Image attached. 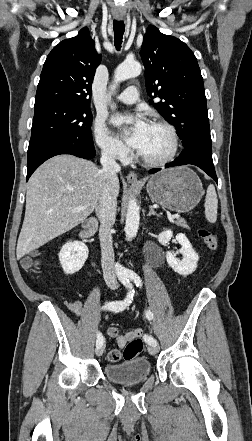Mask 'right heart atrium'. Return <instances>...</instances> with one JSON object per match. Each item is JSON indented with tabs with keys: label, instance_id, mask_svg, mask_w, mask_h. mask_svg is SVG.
<instances>
[{
	"label": "right heart atrium",
	"instance_id": "d8ad5b80",
	"mask_svg": "<svg viewBox=\"0 0 252 441\" xmlns=\"http://www.w3.org/2000/svg\"><path fill=\"white\" fill-rule=\"evenodd\" d=\"M93 135L95 144L102 154L119 161L129 159V149L110 131L102 117L95 119Z\"/></svg>",
	"mask_w": 252,
	"mask_h": 441
}]
</instances>
